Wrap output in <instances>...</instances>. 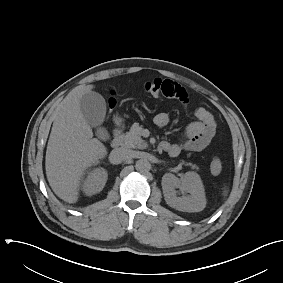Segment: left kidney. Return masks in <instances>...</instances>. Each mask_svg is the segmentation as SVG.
Listing matches in <instances>:
<instances>
[{"mask_svg": "<svg viewBox=\"0 0 283 283\" xmlns=\"http://www.w3.org/2000/svg\"><path fill=\"white\" fill-rule=\"evenodd\" d=\"M176 188L184 193L182 197H177ZM162 189L166 203L179 211L200 212L206 206L203 183L196 172H186L181 178L174 174H165L162 178Z\"/></svg>", "mask_w": 283, "mask_h": 283, "instance_id": "5707ae66", "label": "left kidney"}]
</instances>
